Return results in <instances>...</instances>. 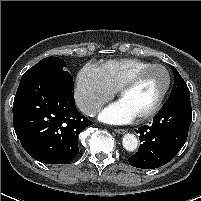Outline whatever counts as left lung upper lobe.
Returning a JSON list of instances; mask_svg holds the SVG:
<instances>
[{"instance_id":"5c2ea615","label":"left lung upper lobe","mask_w":201,"mask_h":201,"mask_svg":"<svg viewBox=\"0 0 201 201\" xmlns=\"http://www.w3.org/2000/svg\"><path fill=\"white\" fill-rule=\"evenodd\" d=\"M172 71L174 74V84H173V88H172L169 98L176 96V95H180V94H190V91H189L185 81L183 80L181 75L178 73V71L173 66H172Z\"/></svg>"}]
</instances>
